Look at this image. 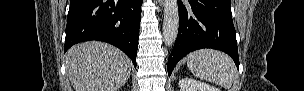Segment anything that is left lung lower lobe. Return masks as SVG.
<instances>
[{"label":"left lung lower lobe","instance_id":"obj_1","mask_svg":"<svg viewBox=\"0 0 304 91\" xmlns=\"http://www.w3.org/2000/svg\"><path fill=\"white\" fill-rule=\"evenodd\" d=\"M178 10L179 30L168 60L169 76L181 58L201 48L226 52L239 68L231 0H178Z\"/></svg>","mask_w":304,"mask_h":91}]
</instances>
